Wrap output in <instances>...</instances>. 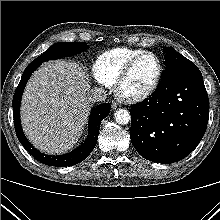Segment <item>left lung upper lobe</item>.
Listing matches in <instances>:
<instances>
[{"label": "left lung upper lobe", "mask_w": 220, "mask_h": 220, "mask_svg": "<svg viewBox=\"0 0 220 220\" xmlns=\"http://www.w3.org/2000/svg\"><path fill=\"white\" fill-rule=\"evenodd\" d=\"M165 66L169 67L176 64H184L190 62L180 53L176 52L173 48H164Z\"/></svg>", "instance_id": "5c2ea615"}]
</instances>
